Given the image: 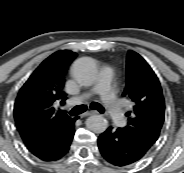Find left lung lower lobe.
Here are the masks:
<instances>
[{
	"mask_svg": "<svg viewBox=\"0 0 184 173\" xmlns=\"http://www.w3.org/2000/svg\"><path fill=\"white\" fill-rule=\"evenodd\" d=\"M102 156L110 163L125 166L140 160L149 149L141 145L123 128H109L98 138Z\"/></svg>",
	"mask_w": 184,
	"mask_h": 173,
	"instance_id": "obj_1",
	"label": "left lung lower lobe"
}]
</instances>
